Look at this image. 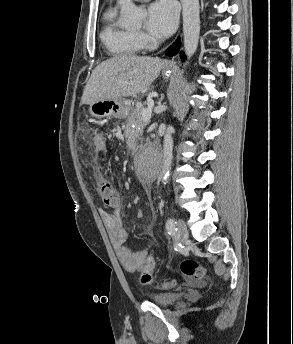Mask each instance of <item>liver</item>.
Here are the masks:
<instances>
[{
    "mask_svg": "<svg viewBox=\"0 0 293 344\" xmlns=\"http://www.w3.org/2000/svg\"><path fill=\"white\" fill-rule=\"evenodd\" d=\"M164 61L148 56L119 55L100 63L87 82L82 103L135 96L149 88Z\"/></svg>",
    "mask_w": 293,
    "mask_h": 344,
    "instance_id": "liver-1",
    "label": "liver"
}]
</instances>
